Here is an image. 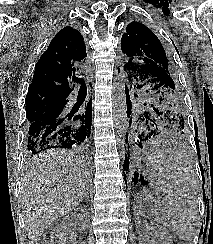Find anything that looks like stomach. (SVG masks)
I'll list each match as a JSON object with an SVG mask.
<instances>
[{
  "label": "stomach",
  "mask_w": 213,
  "mask_h": 244,
  "mask_svg": "<svg viewBox=\"0 0 213 244\" xmlns=\"http://www.w3.org/2000/svg\"><path fill=\"white\" fill-rule=\"evenodd\" d=\"M144 175L147 177L148 181L150 182H152L154 178L157 176L156 172L150 167H148V170L144 172Z\"/></svg>",
  "instance_id": "1"
}]
</instances>
